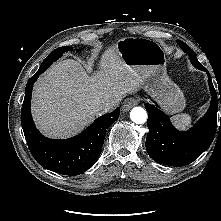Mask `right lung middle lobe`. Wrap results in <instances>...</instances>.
<instances>
[{"label":"right lung middle lobe","instance_id":"1","mask_svg":"<svg viewBox=\"0 0 221 221\" xmlns=\"http://www.w3.org/2000/svg\"><path fill=\"white\" fill-rule=\"evenodd\" d=\"M72 50H73L72 47H69V46L57 48L43 61L40 67H43L46 65L50 66L54 61H56L59 57H61L63 53L67 51H72ZM77 51L79 50L77 49Z\"/></svg>","mask_w":221,"mask_h":221}]
</instances>
